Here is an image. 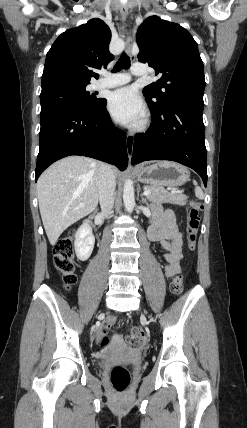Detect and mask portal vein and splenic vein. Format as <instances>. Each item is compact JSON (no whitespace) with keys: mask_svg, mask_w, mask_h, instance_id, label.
Segmentation results:
<instances>
[{"mask_svg":"<svg viewBox=\"0 0 247 428\" xmlns=\"http://www.w3.org/2000/svg\"><path fill=\"white\" fill-rule=\"evenodd\" d=\"M143 194H144V195H146V196H148V195H150V194H151V191H150V190L145 189ZM80 206H84V204H80Z\"/></svg>","mask_w":247,"mask_h":428,"instance_id":"1","label":"portal vein and splenic vein"}]
</instances>
